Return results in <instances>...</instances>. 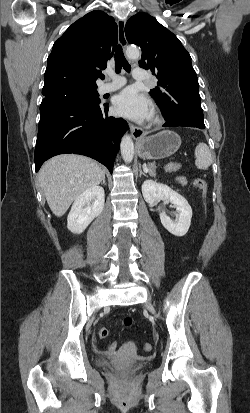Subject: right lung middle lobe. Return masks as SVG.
Returning a JSON list of instances; mask_svg holds the SVG:
<instances>
[{
	"instance_id": "obj_1",
	"label": "right lung middle lobe",
	"mask_w": 250,
	"mask_h": 413,
	"mask_svg": "<svg viewBox=\"0 0 250 413\" xmlns=\"http://www.w3.org/2000/svg\"><path fill=\"white\" fill-rule=\"evenodd\" d=\"M44 99L49 100H67V99H82L86 101L100 103L99 94L96 88H65L50 92L44 95Z\"/></svg>"
}]
</instances>
